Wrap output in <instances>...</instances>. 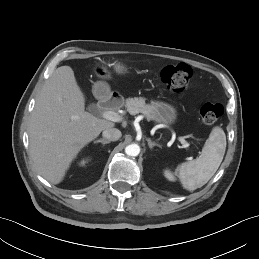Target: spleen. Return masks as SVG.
<instances>
[{"label":"spleen","instance_id":"obj_1","mask_svg":"<svg viewBox=\"0 0 259 259\" xmlns=\"http://www.w3.org/2000/svg\"><path fill=\"white\" fill-rule=\"evenodd\" d=\"M226 150V135L222 128L214 127L206 140L201 155L184 162L177 168L182 186L194 191L204 186L219 168Z\"/></svg>","mask_w":259,"mask_h":259}]
</instances>
